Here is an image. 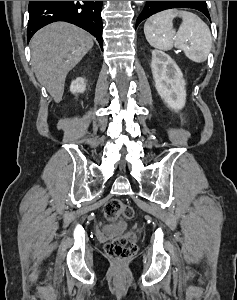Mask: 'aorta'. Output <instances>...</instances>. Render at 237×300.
Listing matches in <instances>:
<instances>
[{
  "instance_id": "obj_1",
  "label": "aorta",
  "mask_w": 237,
  "mask_h": 300,
  "mask_svg": "<svg viewBox=\"0 0 237 300\" xmlns=\"http://www.w3.org/2000/svg\"><path fill=\"white\" fill-rule=\"evenodd\" d=\"M135 3H144V1H135Z\"/></svg>"
}]
</instances>
